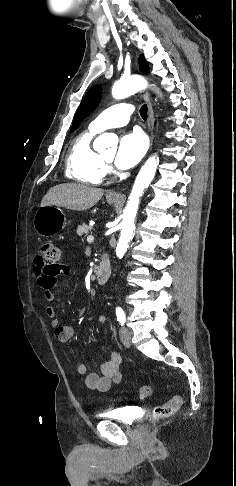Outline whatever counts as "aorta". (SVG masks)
Listing matches in <instances>:
<instances>
[{"label": "aorta", "mask_w": 236, "mask_h": 486, "mask_svg": "<svg viewBox=\"0 0 236 486\" xmlns=\"http://www.w3.org/2000/svg\"><path fill=\"white\" fill-rule=\"evenodd\" d=\"M147 87V82L140 76H131L117 81L112 87V96L115 99H123ZM113 137L109 133L100 135L94 142V148L100 150L105 148ZM159 164V157H150L140 169L136 180L134 182L131 194L129 196L127 205L123 212V220L121 222V233L116 248V255L122 258L127 251L128 244L133 238L135 229V218L138 211L140 197L144 190L149 187L153 180L157 166Z\"/></svg>", "instance_id": "762f6f07"}]
</instances>
